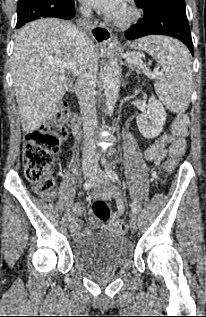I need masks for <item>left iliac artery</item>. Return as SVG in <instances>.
I'll return each mask as SVG.
<instances>
[{
	"instance_id": "44dca946",
	"label": "left iliac artery",
	"mask_w": 206,
	"mask_h": 317,
	"mask_svg": "<svg viewBox=\"0 0 206 317\" xmlns=\"http://www.w3.org/2000/svg\"><path fill=\"white\" fill-rule=\"evenodd\" d=\"M107 174H108V177L112 180V181H118V175H117V173L115 172V171H113L112 169H109L108 170V172H107ZM130 208H131V212L133 213V214H135L136 213V211H137V208H136V204L134 203V202H132L131 204H130Z\"/></svg>"
}]
</instances>
